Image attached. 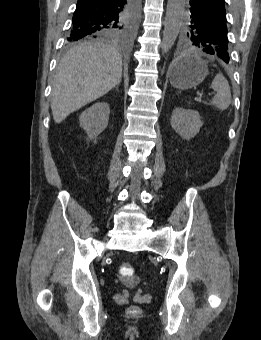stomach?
Masks as SVG:
<instances>
[{"instance_id":"1","label":"stomach","mask_w":261,"mask_h":340,"mask_svg":"<svg viewBox=\"0 0 261 340\" xmlns=\"http://www.w3.org/2000/svg\"><path fill=\"white\" fill-rule=\"evenodd\" d=\"M207 75L208 67L205 60L192 54L178 58L169 68L172 86L182 90L199 85Z\"/></svg>"}]
</instances>
